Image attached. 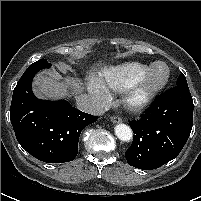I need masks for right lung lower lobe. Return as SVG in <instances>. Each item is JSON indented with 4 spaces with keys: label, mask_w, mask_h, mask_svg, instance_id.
Listing matches in <instances>:
<instances>
[{
    "label": "right lung lower lobe",
    "mask_w": 201,
    "mask_h": 201,
    "mask_svg": "<svg viewBox=\"0 0 201 201\" xmlns=\"http://www.w3.org/2000/svg\"><path fill=\"white\" fill-rule=\"evenodd\" d=\"M29 66L12 96L10 119L19 144L33 157L47 163L74 160L81 131L98 117L72 107L67 101L36 98L31 89L34 75L50 67Z\"/></svg>",
    "instance_id": "obj_1"
}]
</instances>
